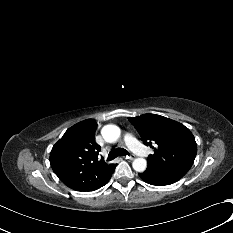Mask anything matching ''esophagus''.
<instances>
[{"label": "esophagus", "mask_w": 233, "mask_h": 233, "mask_svg": "<svg viewBox=\"0 0 233 233\" xmlns=\"http://www.w3.org/2000/svg\"><path fill=\"white\" fill-rule=\"evenodd\" d=\"M135 156L134 155H130V156H126L125 159L128 160H134Z\"/></svg>", "instance_id": "1"}]
</instances>
